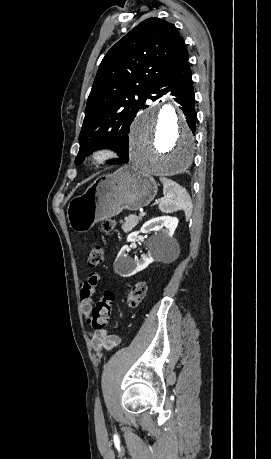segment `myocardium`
I'll list each match as a JSON object with an SVG mask.
<instances>
[{"label":"myocardium","instance_id":"obj_1","mask_svg":"<svg viewBox=\"0 0 271 459\" xmlns=\"http://www.w3.org/2000/svg\"><path fill=\"white\" fill-rule=\"evenodd\" d=\"M120 156L119 147L110 141L92 146L85 156V164L91 168H99L116 161Z\"/></svg>","mask_w":271,"mask_h":459}]
</instances>
